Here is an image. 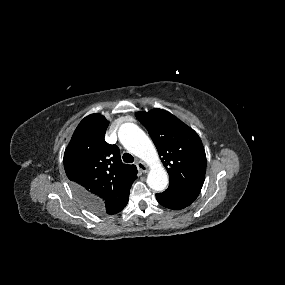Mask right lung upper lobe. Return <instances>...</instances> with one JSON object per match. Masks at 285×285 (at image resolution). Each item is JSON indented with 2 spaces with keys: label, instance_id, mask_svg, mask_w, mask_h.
Wrapping results in <instances>:
<instances>
[{
  "label": "right lung upper lobe",
  "instance_id": "cb5924a9",
  "mask_svg": "<svg viewBox=\"0 0 285 285\" xmlns=\"http://www.w3.org/2000/svg\"><path fill=\"white\" fill-rule=\"evenodd\" d=\"M108 125L100 114L85 117L65 150L64 168L83 204L113 215L128 201L137 169L123 164L119 148L105 141Z\"/></svg>",
  "mask_w": 285,
  "mask_h": 285
}]
</instances>
